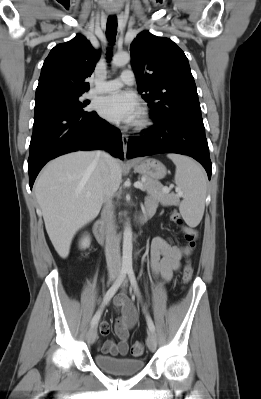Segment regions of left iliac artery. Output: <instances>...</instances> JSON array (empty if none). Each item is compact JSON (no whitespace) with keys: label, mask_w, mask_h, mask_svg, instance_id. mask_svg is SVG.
<instances>
[{"label":"left iliac artery","mask_w":261,"mask_h":399,"mask_svg":"<svg viewBox=\"0 0 261 399\" xmlns=\"http://www.w3.org/2000/svg\"><path fill=\"white\" fill-rule=\"evenodd\" d=\"M127 273H128V277H129L130 283H131V285H132L137 297L139 298V300H141V293H140V290H139V287H138V284H137L136 277H135L133 269L132 268H128ZM144 313L146 315V320H147V325L149 327V330L151 332H154L155 331L154 323H153L151 317L149 316V314L147 313V311L145 310V308H144Z\"/></svg>","instance_id":"1"}]
</instances>
